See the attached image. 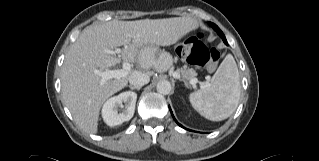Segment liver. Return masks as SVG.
<instances>
[{
	"mask_svg": "<svg viewBox=\"0 0 319 161\" xmlns=\"http://www.w3.org/2000/svg\"><path fill=\"white\" fill-rule=\"evenodd\" d=\"M197 27V20L191 17L113 20L86 27L69 48L61 74L63 100L78 126L85 132L97 133L103 103L122 90L135 72L102 82L95 69L104 71L122 59L139 61L142 68L154 66L161 71L152 61L140 58L141 49L147 45H172ZM118 46L123 49L116 56L112 51Z\"/></svg>",
	"mask_w": 319,
	"mask_h": 161,
	"instance_id": "liver-1",
	"label": "liver"
}]
</instances>
